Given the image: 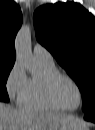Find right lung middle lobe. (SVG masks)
<instances>
[{
  "mask_svg": "<svg viewBox=\"0 0 95 130\" xmlns=\"http://www.w3.org/2000/svg\"><path fill=\"white\" fill-rule=\"evenodd\" d=\"M14 64L0 63V100L8 102L9 97L6 90V81Z\"/></svg>",
  "mask_w": 95,
  "mask_h": 130,
  "instance_id": "dd1d6c3e",
  "label": "right lung middle lobe"
}]
</instances>
